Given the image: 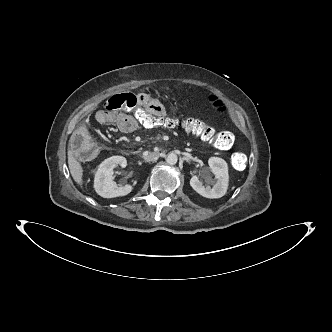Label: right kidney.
<instances>
[{
    "label": "right kidney",
    "mask_w": 332,
    "mask_h": 332,
    "mask_svg": "<svg viewBox=\"0 0 332 332\" xmlns=\"http://www.w3.org/2000/svg\"><path fill=\"white\" fill-rule=\"evenodd\" d=\"M120 165L126 167L127 160L123 156H112L105 159L100 165L95 174L94 188L98 195L103 198H114L128 195L133 187L126 184L125 186L117 185L113 181V169Z\"/></svg>",
    "instance_id": "obj_1"
}]
</instances>
